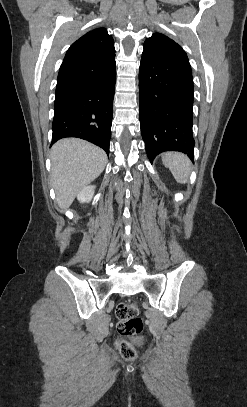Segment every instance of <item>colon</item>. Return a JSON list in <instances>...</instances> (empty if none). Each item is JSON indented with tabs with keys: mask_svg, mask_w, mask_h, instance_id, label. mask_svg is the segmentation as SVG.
<instances>
[{
	"mask_svg": "<svg viewBox=\"0 0 247 407\" xmlns=\"http://www.w3.org/2000/svg\"><path fill=\"white\" fill-rule=\"evenodd\" d=\"M117 331L121 338L116 342L121 356L128 361L134 360L136 350L127 339L143 330V321L138 316V307L134 303H119L116 308Z\"/></svg>",
	"mask_w": 247,
	"mask_h": 407,
	"instance_id": "colon-1",
	"label": "colon"
}]
</instances>
